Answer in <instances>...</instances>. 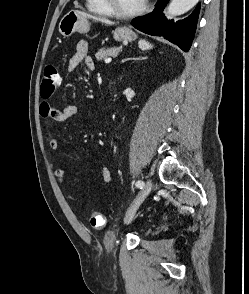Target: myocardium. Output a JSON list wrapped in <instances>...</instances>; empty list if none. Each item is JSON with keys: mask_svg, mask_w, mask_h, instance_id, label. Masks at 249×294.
<instances>
[{"mask_svg": "<svg viewBox=\"0 0 249 294\" xmlns=\"http://www.w3.org/2000/svg\"><path fill=\"white\" fill-rule=\"evenodd\" d=\"M106 7L110 10L111 14L117 17H122V18H130V17H134L137 15L142 14L146 9H147V1L144 0L143 4L135 9V10H131V11H125L120 9L115 0H103Z\"/></svg>", "mask_w": 249, "mask_h": 294, "instance_id": "myocardium-1", "label": "myocardium"}]
</instances>
